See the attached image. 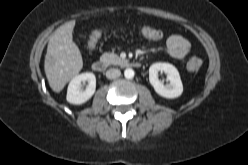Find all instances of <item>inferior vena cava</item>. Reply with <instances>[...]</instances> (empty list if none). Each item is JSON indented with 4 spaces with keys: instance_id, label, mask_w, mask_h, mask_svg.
<instances>
[{
    "instance_id": "obj_1",
    "label": "inferior vena cava",
    "mask_w": 248,
    "mask_h": 165,
    "mask_svg": "<svg viewBox=\"0 0 248 165\" xmlns=\"http://www.w3.org/2000/svg\"><path fill=\"white\" fill-rule=\"evenodd\" d=\"M121 75V72L119 69L111 68L106 71V77L108 79H115L118 78Z\"/></svg>"
}]
</instances>
